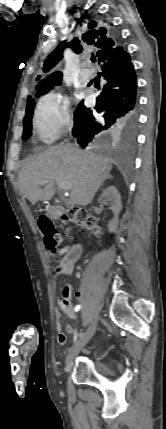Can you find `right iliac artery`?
<instances>
[{
    "instance_id": "82829eb1",
    "label": "right iliac artery",
    "mask_w": 166,
    "mask_h": 429,
    "mask_svg": "<svg viewBox=\"0 0 166 429\" xmlns=\"http://www.w3.org/2000/svg\"><path fill=\"white\" fill-rule=\"evenodd\" d=\"M80 308H81V306L80 305H77L76 307H75V312H78L79 310H80ZM83 334H81V336H82ZM76 339H77V336L75 335V337H74V341H76Z\"/></svg>"
}]
</instances>
